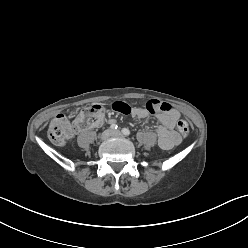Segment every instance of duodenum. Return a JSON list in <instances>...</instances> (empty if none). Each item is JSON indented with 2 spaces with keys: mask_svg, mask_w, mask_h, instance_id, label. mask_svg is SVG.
I'll list each match as a JSON object with an SVG mask.
<instances>
[{
  "mask_svg": "<svg viewBox=\"0 0 248 248\" xmlns=\"http://www.w3.org/2000/svg\"><path fill=\"white\" fill-rule=\"evenodd\" d=\"M109 122H114V120L113 119H109Z\"/></svg>",
  "mask_w": 248,
  "mask_h": 248,
  "instance_id": "duodenum-1",
  "label": "duodenum"
}]
</instances>
